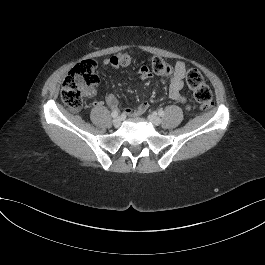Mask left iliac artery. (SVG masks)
Segmentation results:
<instances>
[{"instance_id": "left-iliac-artery-1", "label": "left iliac artery", "mask_w": 265, "mask_h": 265, "mask_svg": "<svg viewBox=\"0 0 265 265\" xmlns=\"http://www.w3.org/2000/svg\"><path fill=\"white\" fill-rule=\"evenodd\" d=\"M158 114H159L160 116H164V111H163V110H159Z\"/></svg>"}]
</instances>
